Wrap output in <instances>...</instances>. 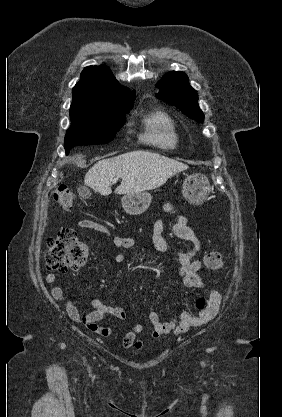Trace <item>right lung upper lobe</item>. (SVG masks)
<instances>
[{"instance_id": "obj_1", "label": "right lung upper lobe", "mask_w": 282, "mask_h": 417, "mask_svg": "<svg viewBox=\"0 0 282 417\" xmlns=\"http://www.w3.org/2000/svg\"><path fill=\"white\" fill-rule=\"evenodd\" d=\"M74 97L132 96L135 92L123 88L110 69L103 66H88L81 73L80 81L72 91Z\"/></svg>"}]
</instances>
